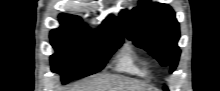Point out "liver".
Instances as JSON below:
<instances>
[{"label":"liver","instance_id":"liver-1","mask_svg":"<svg viewBox=\"0 0 220 91\" xmlns=\"http://www.w3.org/2000/svg\"><path fill=\"white\" fill-rule=\"evenodd\" d=\"M68 91H149V88L118 76H95Z\"/></svg>","mask_w":220,"mask_h":91}]
</instances>
